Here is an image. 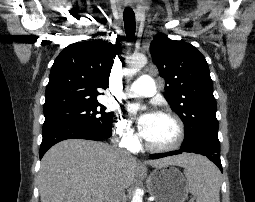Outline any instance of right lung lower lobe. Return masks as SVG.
<instances>
[{"label": "right lung lower lobe", "instance_id": "obj_1", "mask_svg": "<svg viewBox=\"0 0 255 202\" xmlns=\"http://www.w3.org/2000/svg\"><path fill=\"white\" fill-rule=\"evenodd\" d=\"M43 140L40 146V159L54 144L66 139H87L99 141L110 135H101L92 129L78 123H54L43 125Z\"/></svg>", "mask_w": 255, "mask_h": 202}]
</instances>
